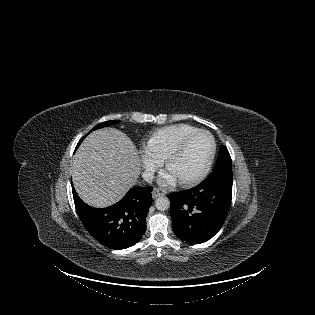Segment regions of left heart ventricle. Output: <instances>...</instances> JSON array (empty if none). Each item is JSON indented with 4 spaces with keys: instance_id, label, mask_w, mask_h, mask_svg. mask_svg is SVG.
<instances>
[{
    "instance_id": "left-heart-ventricle-1",
    "label": "left heart ventricle",
    "mask_w": 315,
    "mask_h": 315,
    "mask_svg": "<svg viewBox=\"0 0 315 315\" xmlns=\"http://www.w3.org/2000/svg\"><path fill=\"white\" fill-rule=\"evenodd\" d=\"M211 150V142L206 134L194 136L183 152L169 166V171L177 179H186L199 173L204 167Z\"/></svg>"
}]
</instances>
